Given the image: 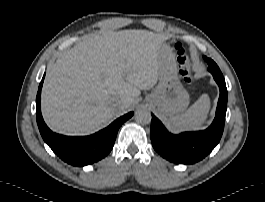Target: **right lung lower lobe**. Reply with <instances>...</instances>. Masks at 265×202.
Masks as SVG:
<instances>
[{"label":"right lung lower lobe","instance_id":"obj_1","mask_svg":"<svg viewBox=\"0 0 265 202\" xmlns=\"http://www.w3.org/2000/svg\"><path fill=\"white\" fill-rule=\"evenodd\" d=\"M36 97L37 124L43 140L63 161L74 166H85L104 158L112 150L120 126L128 120L133 112L115 120L107 128L84 137H69L53 133L45 124L41 115V88Z\"/></svg>","mask_w":265,"mask_h":202}]
</instances>
